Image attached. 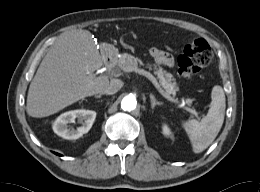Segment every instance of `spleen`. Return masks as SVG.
Returning <instances> with one entry per match:
<instances>
[{
    "label": "spleen",
    "instance_id": "1",
    "mask_svg": "<svg viewBox=\"0 0 260 192\" xmlns=\"http://www.w3.org/2000/svg\"><path fill=\"white\" fill-rule=\"evenodd\" d=\"M211 99L208 113L201 121L192 119L182 122L194 153H200L212 144L224 122L226 99L221 86L213 87Z\"/></svg>",
    "mask_w": 260,
    "mask_h": 192
}]
</instances>
